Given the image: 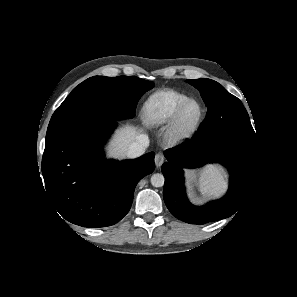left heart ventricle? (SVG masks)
Here are the masks:
<instances>
[{
	"instance_id": "b2bd125f",
	"label": "left heart ventricle",
	"mask_w": 297,
	"mask_h": 297,
	"mask_svg": "<svg viewBox=\"0 0 297 297\" xmlns=\"http://www.w3.org/2000/svg\"><path fill=\"white\" fill-rule=\"evenodd\" d=\"M199 113V107L192 103L184 111L182 116V125L189 126L194 122Z\"/></svg>"
}]
</instances>
